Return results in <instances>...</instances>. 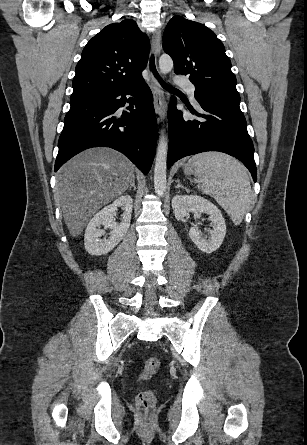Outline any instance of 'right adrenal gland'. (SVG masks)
Segmentation results:
<instances>
[{
	"label": "right adrenal gland",
	"mask_w": 307,
	"mask_h": 445,
	"mask_svg": "<svg viewBox=\"0 0 307 445\" xmlns=\"http://www.w3.org/2000/svg\"><path fill=\"white\" fill-rule=\"evenodd\" d=\"M132 186H133L134 190H136V186H135V176H133V180H132V182H131V184H130V186H129V190H131Z\"/></svg>",
	"instance_id": "2a0ac1e0"
}]
</instances>
